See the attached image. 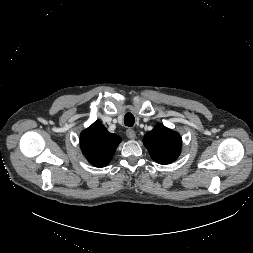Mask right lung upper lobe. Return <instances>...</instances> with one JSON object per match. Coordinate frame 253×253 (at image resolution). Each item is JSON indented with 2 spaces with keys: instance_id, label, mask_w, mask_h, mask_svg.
Instances as JSON below:
<instances>
[{
  "instance_id": "cb5924a9",
  "label": "right lung upper lobe",
  "mask_w": 253,
  "mask_h": 253,
  "mask_svg": "<svg viewBox=\"0 0 253 253\" xmlns=\"http://www.w3.org/2000/svg\"><path fill=\"white\" fill-rule=\"evenodd\" d=\"M121 138L109 133L96 121L80 135V146L87 160L96 167L106 166L112 159Z\"/></svg>"
}]
</instances>
